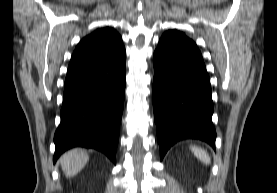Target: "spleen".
I'll use <instances>...</instances> for the list:
<instances>
[{
	"label": "spleen",
	"instance_id": "1",
	"mask_svg": "<svg viewBox=\"0 0 277 193\" xmlns=\"http://www.w3.org/2000/svg\"><path fill=\"white\" fill-rule=\"evenodd\" d=\"M191 151L194 153L196 158H198L201 162H203L205 164L211 163V158L204 149L196 147V146H192Z\"/></svg>",
	"mask_w": 277,
	"mask_h": 193
}]
</instances>
